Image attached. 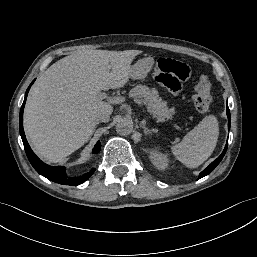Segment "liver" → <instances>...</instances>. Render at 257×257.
<instances>
[{
  "mask_svg": "<svg viewBox=\"0 0 257 257\" xmlns=\"http://www.w3.org/2000/svg\"><path fill=\"white\" fill-rule=\"evenodd\" d=\"M140 50H88L52 64L30 90L24 128L36 153L58 162L83 146L93 134L98 114L113 112L102 90L123 87Z\"/></svg>",
  "mask_w": 257,
  "mask_h": 257,
  "instance_id": "1",
  "label": "liver"
}]
</instances>
